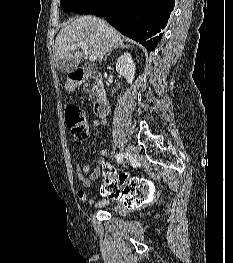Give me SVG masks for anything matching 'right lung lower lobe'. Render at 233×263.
Masks as SVG:
<instances>
[{
  "mask_svg": "<svg viewBox=\"0 0 233 263\" xmlns=\"http://www.w3.org/2000/svg\"><path fill=\"white\" fill-rule=\"evenodd\" d=\"M174 5L175 0H102L89 14L105 16L123 35L153 51Z\"/></svg>",
  "mask_w": 233,
  "mask_h": 263,
  "instance_id": "right-lung-lower-lobe-1",
  "label": "right lung lower lobe"
}]
</instances>
